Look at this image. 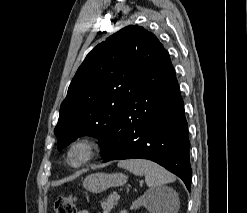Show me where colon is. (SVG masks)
Wrapping results in <instances>:
<instances>
[{
	"mask_svg": "<svg viewBox=\"0 0 247 213\" xmlns=\"http://www.w3.org/2000/svg\"><path fill=\"white\" fill-rule=\"evenodd\" d=\"M76 203L74 196H64L55 202L54 213H75Z\"/></svg>",
	"mask_w": 247,
	"mask_h": 213,
	"instance_id": "1",
	"label": "colon"
}]
</instances>
